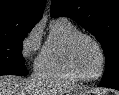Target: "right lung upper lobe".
<instances>
[{"label":"right lung upper lobe","mask_w":119,"mask_h":95,"mask_svg":"<svg viewBox=\"0 0 119 95\" xmlns=\"http://www.w3.org/2000/svg\"><path fill=\"white\" fill-rule=\"evenodd\" d=\"M45 3L46 0H0V30L17 25L34 26Z\"/></svg>","instance_id":"cb5924a9"}]
</instances>
